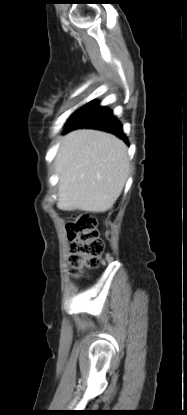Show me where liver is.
Returning <instances> with one entry per match:
<instances>
[{
	"label": "liver",
	"instance_id": "liver-1",
	"mask_svg": "<svg viewBox=\"0 0 187 415\" xmlns=\"http://www.w3.org/2000/svg\"><path fill=\"white\" fill-rule=\"evenodd\" d=\"M60 210L106 212L129 174L127 146L102 131L79 129L64 136L55 158Z\"/></svg>",
	"mask_w": 187,
	"mask_h": 415
}]
</instances>
